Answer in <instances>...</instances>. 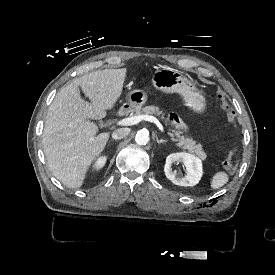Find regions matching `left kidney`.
I'll return each instance as SVG.
<instances>
[{
	"label": "left kidney",
	"mask_w": 275,
	"mask_h": 275,
	"mask_svg": "<svg viewBox=\"0 0 275 275\" xmlns=\"http://www.w3.org/2000/svg\"><path fill=\"white\" fill-rule=\"evenodd\" d=\"M176 161L184 163L187 170L185 177L180 178L172 171L171 164ZM164 172L166 177L176 185L194 186L199 183L203 175L202 161L190 153H172L166 158Z\"/></svg>",
	"instance_id": "obj_1"
}]
</instances>
